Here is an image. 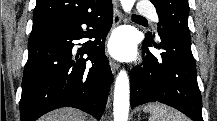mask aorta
Wrapping results in <instances>:
<instances>
[{
    "label": "aorta",
    "mask_w": 217,
    "mask_h": 121,
    "mask_svg": "<svg viewBox=\"0 0 217 121\" xmlns=\"http://www.w3.org/2000/svg\"><path fill=\"white\" fill-rule=\"evenodd\" d=\"M135 0H121L122 8L129 13L134 6ZM130 85L126 71L118 74L114 88V121H127L129 113Z\"/></svg>",
    "instance_id": "762f6f07"
}]
</instances>
